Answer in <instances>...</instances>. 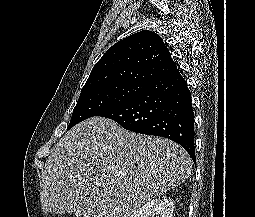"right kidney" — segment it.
I'll return each instance as SVG.
<instances>
[{"instance_id": "1", "label": "right kidney", "mask_w": 255, "mask_h": 217, "mask_svg": "<svg viewBox=\"0 0 255 217\" xmlns=\"http://www.w3.org/2000/svg\"><path fill=\"white\" fill-rule=\"evenodd\" d=\"M174 201L171 198L153 199L134 211L130 217H172Z\"/></svg>"}]
</instances>
